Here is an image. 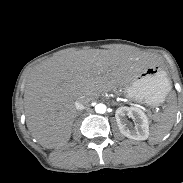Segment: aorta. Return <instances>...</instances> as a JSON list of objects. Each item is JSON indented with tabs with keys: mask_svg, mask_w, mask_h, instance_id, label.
<instances>
[{
	"mask_svg": "<svg viewBox=\"0 0 183 183\" xmlns=\"http://www.w3.org/2000/svg\"><path fill=\"white\" fill-rule=\"evenodd\" d=\"M106 110H107V107L105 104L100 103L95 106V111L99 114H104Z\"/></svg>",
	"mask_w": 183,
	"mask_h": 183,
	"instance_id": "obj_1",
	"label": "aorta"
}]
</instances>
